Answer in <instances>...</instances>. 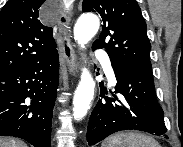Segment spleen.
I'll return each mask as SVG.
<instances>
[{"mask_svg":"<svg viewBox=\"0 0 183 147\" xmlns=\"http://www.w3.org/2000/svg\"><path fill=\"white\" fill-rule=\"evenodd\" d=\"M102 147H160L152 137L137 132H121L107 138Z\"/></svg>","mask_w":183,"mask_h":147,"instance_id":"1","label":"spleen"}]
</instances>
